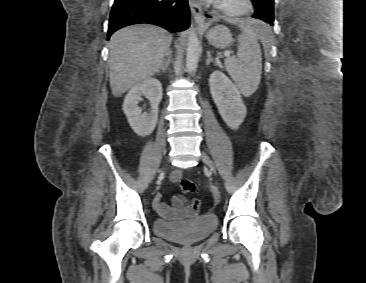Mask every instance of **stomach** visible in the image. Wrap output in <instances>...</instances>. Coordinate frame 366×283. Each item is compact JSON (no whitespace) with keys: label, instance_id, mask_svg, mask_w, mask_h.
Wrapping results in <instances>:
<instances>
[{"label":"stomach","instance_id":"0dacf381","mask_svg":"<svg viewBox=\"0 0 366 283\" xmlns=\"http://www.w3.org/2000/svg\"><path fill=\"white\" fill-rule=\"evenodd\" d=\"M208 42L216 48H226L232 43V35L224 26H216L206 33Z\"/></svg>","mask_w":366,"mask_h":283}]
</instances>
